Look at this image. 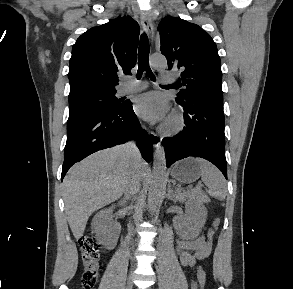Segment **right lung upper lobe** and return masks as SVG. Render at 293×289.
I'll use <instances>...</instances> for the list:
<instances>
[{
	"instance_id": "1",
	"label": "right lung upper lobe",
	"mask_w": 293,
	"mask_h": 289,
	"mask_svg": "<svg viewBox=\"0 0 293 289\" xmlns=\"http://www.w3.org/2000/svg\"><path fill=\"white\" fill-rule=\"evenodd\" d=\"M140 28L131 18H117L83 33L73 45L69 65V101L110 94L118 76L135 66Z\"/></svg>"
}]
</instances>
